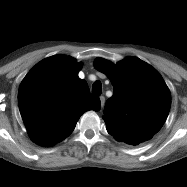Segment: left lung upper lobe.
Instances as JSON below:
<instances>
[{"instance_id": "5c2ea615", "label": "left lung upper lobe", "mask_w": 187, "mask_h": 187, "mask_svg": "<svg viewBox=\"0 0 187 187\" xmlns=\"http://www.w3.org/2000/svg\"><path fill=\"white\" fill-rule=\"evenodd\" d=\"M94 67L113 85V96L103 116L108 133L130 145L151 139L163 126L171 106L170 91L162 76L136 57H127L116 65L96 58Z\"/></svg>"}]
</instances>
